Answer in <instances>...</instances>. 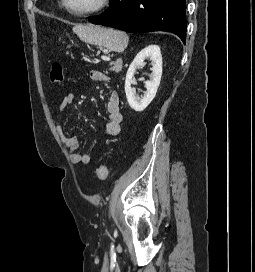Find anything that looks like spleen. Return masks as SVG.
<instances>
[{
    "label": "spleen",
    "mask_w": 255,
    "mask_h": 272,
    "mask_svg": "<svg viewBox=\"0 0 255 272\" xmlns=\"http://www.w3.org/2000/svg\"><path fill=\"white\" fill-rule=\"evenodd\" d=\"M73 31L82 41L103 46L115 52H123L129 41L125 32L98 25H78L73 28Z\"/></svg>",
    "instance_id": "3e777b00"
}]
</instances>
